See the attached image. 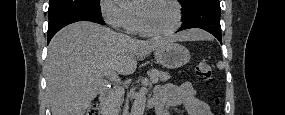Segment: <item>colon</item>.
I'll return each instance as SVG.
<instances>
[{
    "label": "colon",
    "instance_id": "1",
    "mask_svg": "<svg viewBox=\"0 0 285 115\" xmlns=\"http://www.w3.org/2000/svg\"><path fill=\"white\" fill-rule=\"evenodd\" d=\"M196 73L203 80L210 81L212 79V68H211L210 63L206 60L200 61L196 65ZM86 114L87 115H98L99 111H98L97 106L95 104H92L89 107Z\"/></svg>",
    "mask_w": 285,
    "mask_h": 115
}]
</instances>
